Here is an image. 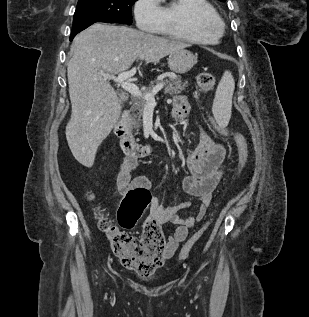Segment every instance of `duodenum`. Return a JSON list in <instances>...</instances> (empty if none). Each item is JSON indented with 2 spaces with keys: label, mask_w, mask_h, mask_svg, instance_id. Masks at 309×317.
I'll use <instances>...</instances> for the list:
<instances>
[{
  "label": "duodenum",
  "mask_w": 309,
  "mask_h": 317,
  "mask_svg": "<svg viewBox=\"0 0 309 317\" xmlns=\"http://www.w3.org/2000/svg\"><path fill=\"white\" fill-rule=\"evenodd\" d=\"M129 119L130 111L125 110L117 124L115 125V134L120 140V145L123 152L134 158H141L148 156L152 151L153 147L151 144H139L137 143L129 130Z\"/></svg>",
  "instance_id": "1"
}]
</instances>
